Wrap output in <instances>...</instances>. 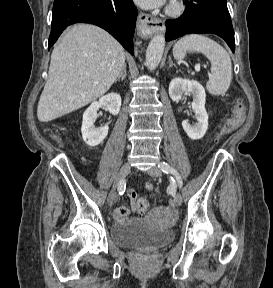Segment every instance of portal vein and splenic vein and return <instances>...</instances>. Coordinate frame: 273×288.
Returning a JSON list of instances; mask_svg holds the SVG:
<instances>
[{
	"instance_id": "18ae733b",
	"label": "portal vein and splenic vein",
	"mask_w": 273,
	"mask_h": 288,
	"mask_svg": "<svg viewBox=\"0 0 273 288\" xmlns=\"http://www.w3.org/2000/svg\"><path fill=\"white\" fill-rule=\"evenodd\" d=\"M200 69V66L198 65L197 67H196V71H198Z\"/></svg>"
}]
</instances>
